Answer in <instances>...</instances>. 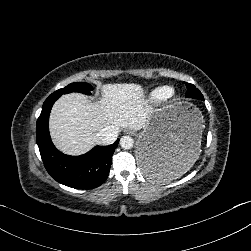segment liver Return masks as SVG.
<instances>
[{
	"mask_svg": "<svg viewBox=\"0 0 251 251\" xmlns=\"http://www.w3.org/2000/svg\"><path fill=\"white\" fill-rule=\"evenodd\" d=\"M152 113L146 89L139 83H105L98 101L72 92L58 98L48 128L54 147L63 155L82 156L99 145L97 133L107 126L122 130L144 128Z\"/></svg>",
	"mask_w": 251,
	"mask_h": 251,
	"instance_id": "1",
	"label": "liver"
}]
</instances>
